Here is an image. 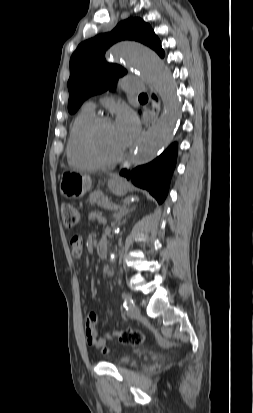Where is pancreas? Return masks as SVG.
<instances>
[{"label":"pancreas","instance_id":"1","mask_svg":"<svg viewBox=\"0 0 253 413\" xmlns=\"http://www.w3.org/2000/svg\"><path fill=\"white\" fill-rule=\"evenodd\" d=\"M89 202L91 204H97L98 206L103 207V203L110 202L108 197L104 196L103 193L99 190L94 191L89 195Z\"/></svg>","mask_w":253,"mask_h":413}]
</instances>
